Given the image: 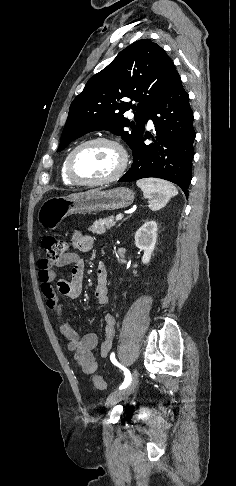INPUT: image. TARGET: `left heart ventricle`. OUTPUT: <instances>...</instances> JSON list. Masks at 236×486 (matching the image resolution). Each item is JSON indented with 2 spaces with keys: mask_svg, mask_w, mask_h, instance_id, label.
<instances>
[{
  "mask_svg": "<svg viewBox=\"0 0 236 486\" xmlns=\"http://www.w3.org/2000/svg\"><path fill=\"white\" fill-rule=\"evenodd\" d=\"M121 162L119 151L104 143L87 146L74 159L75 174L84 180H97L112 175Z\"/></svg>",
  "mask_w": 236,
  "mask_h": 486,
  "instance_id": "obj_1",
  "label": "left heart ventricle"
}]
</instances>
